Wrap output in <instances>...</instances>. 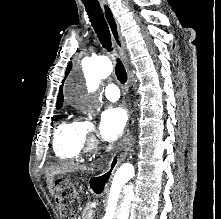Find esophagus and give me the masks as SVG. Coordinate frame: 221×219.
Returning a JSON list of instances; mask_svg holds the SVG:
<instances>
[{
  "label": "esophagus",
  "mask_w": 221,
  "mask_h": 219,
  "mask_svg": "<svg viewBox=\"0 0 221 219\" xmlns=\"http://www.w3.org/2000/svg\"><path fill=\"white\" fill-rule=\"evenodd\" d=\"M102 11L104 14V17L106 19V22L108 24L112 39L122 57V60L124 62V66L128 75V84L131 82V71L129 69L128 61H127V56H126V48H125V42L124 39L120 33V28L119 24L114 16V13L110 7L109 4L107 3H102L101 4Z\"/></svg>",
  "instance_id": "obj_1"
}]
</instances>
